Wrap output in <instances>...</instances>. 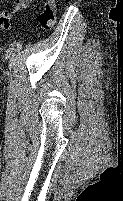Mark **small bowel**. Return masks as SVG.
I'll use <instances>...</instances> for the list:
<instances>
[{"label":"small bowel","instance_id":"1","mask_svg":"<svg viewBox=\"0 0 123 201\" xmlns=\"http://www.w3.org/2000/svg\"><path fill=\"white\" fill-rule=\"evenodd\" d=\"M32 0H14L10 9L0 10V27L8 30L14 17L25 10Z\"/></svg>","mask_w":123,"mask_h":201}]
</instances>
